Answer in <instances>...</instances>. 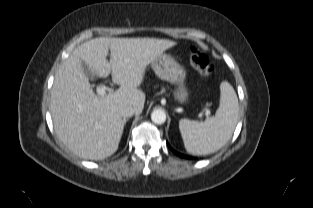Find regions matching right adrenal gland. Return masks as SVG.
<instances>
[{"label": "right adrenal gland", "instance_id": "obj_1", "mask_svg": "<svg viewBox=\"0 0 313 208\" xmlns=\"http://www.w3.org/2000/svg\"><path fill=\"white\" fill-rule=\"evenodd\" d=\"M127 121H128V119H123L122 124L125 125Z\"/></svg>", "mask_w": 313, "mask_h": 208}]
</instances>
